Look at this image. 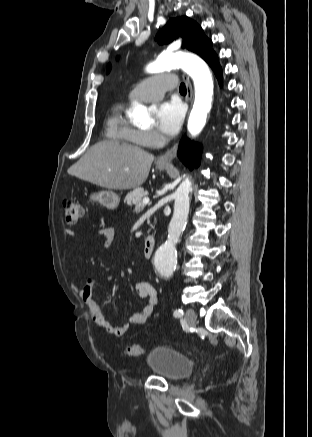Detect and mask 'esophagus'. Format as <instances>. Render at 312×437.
I'll use <instances>...</instances> for the list:
<instances>
[{"instance_id":"1","label":"esophagus","mask_w":312,"mask_h":437,"mask_svg":"<svg viewBox=\"0 0 312 437\" xmlns=\"http://www.w3.org/2000/svg\"><path fill=\"white\" fill-rule=\"evenodd\" d=\"M183 79L186 83V88H187V100L191 101L192 97H193V89H192L191 82H190L189 78L185 75H183ZM178 148H179V141L171 149L166 151L164 154L160 155L157 158V163L158 164H170L171 161L177 155Z\"/></svg>"}]
</instances>
